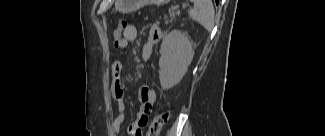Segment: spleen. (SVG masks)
Masks as SVG:
<instances>
[{
    "label": "spleen",
    "instance_id": "obj_1",
    "mask_svg": "<svg viewBox=\"0 0 325 136\" xmlns=\"http://www.w3.org/2000/svg\"><path fill=\"white\" fill-rule=\"evenodd\" d=\"M194 8L189 11L190 17L201 24L207 31L214 27V7L211 0H194Z\"/></svg>",
    "mask_w": 325,
    "mask_h": 136
}]
</instances>
